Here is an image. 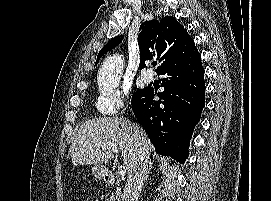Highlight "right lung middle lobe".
<instances>
[{
    "mask_svg": "<svg viewBox=\"0 0 271 201\" xmlns=\"http://www.w3.org/2000/svg\"><path fill=\"white\" fill-rule=\"evenodd\" d=\"M144 90V89H143ZM143 90H137L134 95L141 93Z\"/></svg>",
    "mask_w": 271,
    "mask_h": 201,
    "instance_id": "dd1d6c3e",
    "label": "right lung middle lobe"
}]
</instances>
